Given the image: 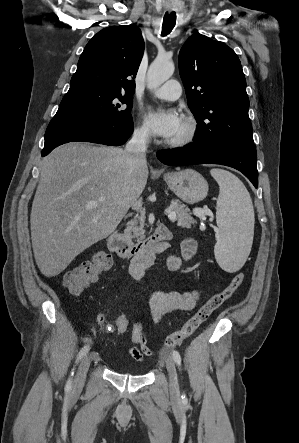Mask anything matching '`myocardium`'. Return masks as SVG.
<instances>
[{
  "mask_svg": "<svg viewBox=\"0 0 299 443\" xmlns=\"http://www.w3.org/2000/svg\"><path fill=\"white\" fill-rule=\"evenodd\" d=\"M183 131L174 138L165 141V145L171 148H184L193 144L199 135V124L193 116H185L182 119Z\"/></svg>",
  "mask_w": 299,
  "mask_h": 443,
  "instance_id": "f54148a6",
  "label": "myocardium"
}]
</instances>
